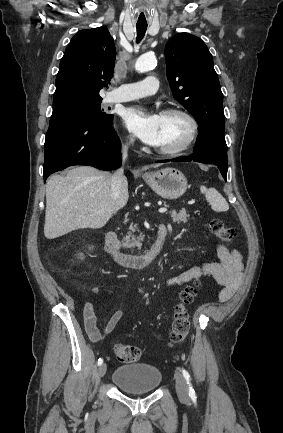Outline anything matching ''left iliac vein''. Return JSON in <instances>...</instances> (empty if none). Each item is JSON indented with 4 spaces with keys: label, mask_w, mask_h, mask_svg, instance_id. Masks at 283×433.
<instances>
[{
    "label": "left iliac vein",
    "mask_w": 283,
    "mask_h": 433,
    "mask_svg": "<svg viewBox=\"0 0 283 433\" xmlns=\"http://www.w3.org/2000/svg\"><path fill=\"white\" fill-rule=\"evenodd\" d=\"M175 382H176V391L178 394V397L185 403H188L189 401V391L188 386L185 381V378L183 375L179 372H175Z\"/></svg>",
    "instance_id": "4c4485c4"
}]
</instances>
